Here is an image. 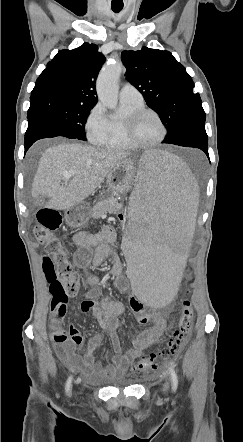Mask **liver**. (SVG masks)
<instances>
[{
	"instance_id": "1",
	"label": "liver",
	"mask_w": 243,
	"mask_h": 442,
	"mask_svg": "<svg viewBox=\"0 0 243 442\" xmlns=\"http://www.w3.org/2000/svg\"><path fill=\"white\" fill-rule=\"evenodd\" d=\"M130 154L80 143H61L42 154L32 184V196L50 198L46 207L67 210L85 200L100 187L115 165ZM75 171L63 185V174Z\"/></svg>"
}]
</instances>
